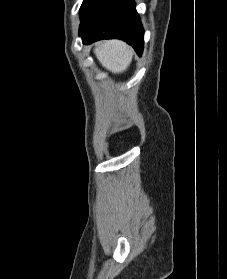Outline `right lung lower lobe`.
I'll list each match as a JSON object with an SVG mask.
<instances>
[{
  "mask_svg": "<svg viewBox=\"0 0 227 279\" xmlns=\"http://www.w3.org/2000/svg\"><path fill=\"white\" fill-rule=\"evenodd\" d=\"M80 18L83 43L117 38L142 54L144 29L133 0H93Z\"/></svg>",
  "mask_w": 227,
  "mask_h": 279,
  "instance_id": "98d812e1",
  "label": "right lung lower lobe"
}]
</instances>
